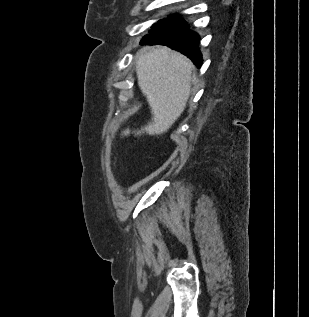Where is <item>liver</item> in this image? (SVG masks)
<instances>
[{"label": "liver", "instance_id": "obj_1", "mask_svg": "<svg viewBox=\"0 0 309 317\" xmlns=\"http://www.w3.org/2000/svg\"><path fill=\"white\" fill-rule=\"evenodd\" d=\"M193 64L167 47H145L136 61L138 85L151 108L152 121L135 135H160L174 124L186 107ZM126 129L122 135L127 136Z\"/></svg>", "mask_w": 309, "mask_h": 317}]
</instances>
